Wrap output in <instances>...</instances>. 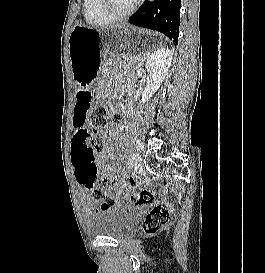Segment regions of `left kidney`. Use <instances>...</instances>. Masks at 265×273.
<instances>
[{
	"mask_svg": "<svg viewBox=\"0 0 265 273\" xmlns=\"http://www.w3.org/2000/svg\"><path fill=\"white\" fill-rule=\"evenodd\" d=\"M172 58L173 53L170 49L161 48L147 59L145 66L149 76L142 92L141 103L148 101L159 89L170 68Z\"/></svg>",
	"mask_w": 265,
	"mask_h": 273,
	"instance_id": "left-kidney-1",
	"label": "left kidney"
}]
</instances>
